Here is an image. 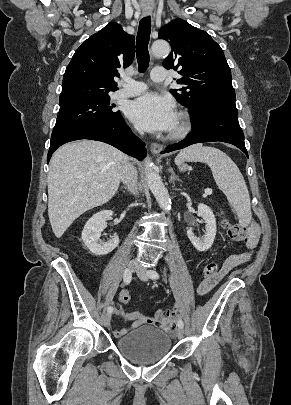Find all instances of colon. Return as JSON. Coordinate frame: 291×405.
Returning <instances> with one entry per match:
<instances>
[{
    "instance_id": "5ec220e1",
    "label": "colon",
    "mask_w": 291,
    "mask_h": 405,
    "mask_svg": "<svg viewBox=\"0 0 291 405\" xmlns=\"http://www.w3.org/2000/svg\"><path fill=\"white\" fill-rule=\"evenodd\" d=\"M228 236L236 242H247L249 237V228L238 224L229 223L225 225ZM219 274V266L215 262L206 264L202 270V276L204 280H214ZM120 301L123 304H128L130 301V294L127 291H123L120 294Z\"/></svg>"
}]
</instances>
